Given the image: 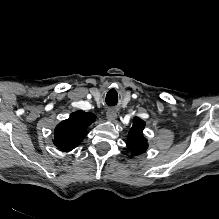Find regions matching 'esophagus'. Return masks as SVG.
<instances>
[{
  "mask_svg": "<svg viewBox=\"0 0 219 219\" xmlns=\"http://www.w3.org/2000/svg\"><path fill=\"white\" fill-rule=\"evenodd\" d=\"M106 116L109 121H114L117 117V109L114 107H108L106 110Z\"/></svg>",
  "mask_w": 219,
  "mask_h": 219,
  "instance_id": "34e87169",
  "label": "esophagus"
}]
</instances>
